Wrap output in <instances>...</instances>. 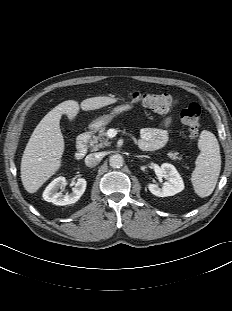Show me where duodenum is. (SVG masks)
<instances>
[{
	"mask_svg": "<svg viewBox=\"0 0 232 311\" xmlns=\"http://www.w3.org/2000/svg\"><path fill=\"white\" fill-rule=\"evenodd\" d=\"M89 140V133L84 132L80 134L77 138V145H76V151L74 154V158L78 161L82 160L88 151L87 143Z\"/></svg>",
	"mask_w": 232,
	"mask_h": 311,
	"instance_id": "1",
	"label": "duodenum"
}]
</instances>
